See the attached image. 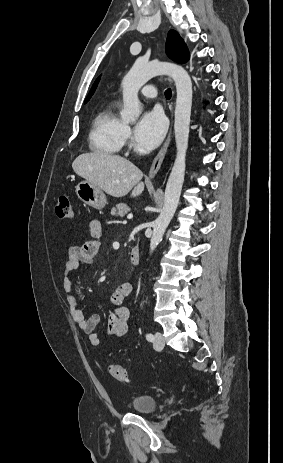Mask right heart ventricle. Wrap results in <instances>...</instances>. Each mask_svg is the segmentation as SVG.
Returning <instances> with one entry per match:
<instances>
[{
    "instance_id": "1",
    "label": "right heart ventricle",
    "mask_w": 283,
    "mask_h": 463,
    "mask_svg": "<svg viewBox=\"0 0 283 463\" xmlns=\"http://www.w3.org/2000/svg\"><path fill=\"white\" fill-rule=\"evenodd\" d=\"M125 123L116 112L114 104H108L95 115L89 133L90 148L99 154L115 155L123 146Z\"/></svg>"
}]
</instances>
